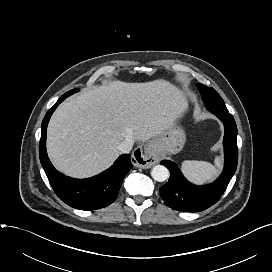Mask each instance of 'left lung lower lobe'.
I'll return each mask as SVG.
<instances>
[{
    "label": "left lung lower lobe",
    "instance_id": "1",
    "mask_svg": "<svg viewBox=\"0 0 272 272\" xmlns=\"http://www.w3.org/2000/svg\"><path fill=\"white\" fill-rule=\"evenodd\" d=\"M209 111L224 124V170L219 178L206 186H195L188 182L177 165L163 160L162 165L170 170L169 181L160 188V195L165 204L177 211L200 212L215 204L226 190L237 168V126L233 116L224 103L207 105Z\"/></svg>",
    "mask_w": 272,
    "mask_h": 272
}]
</instances>
